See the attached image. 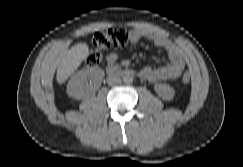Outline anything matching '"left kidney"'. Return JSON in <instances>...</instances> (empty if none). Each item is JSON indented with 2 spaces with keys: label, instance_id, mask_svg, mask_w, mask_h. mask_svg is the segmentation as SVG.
Returning <instances> with one entry per match:
<instances>
[{
  "label": "left kidney",
  "instance_id": "5707ae66",
  "mask_svg": "<svg viewBox=\"0 0 243 167\" xmlns=\"http://www.w3.org/2000/svg\"><path fill=\"white\" fill-rule=\"evenodd\" d=\"M154 90L163 100H172L175 95V90L167 84H156Z\"/></svg>",
  "mask_w": 243,
  "mask_h": 167
}]
</instances>
